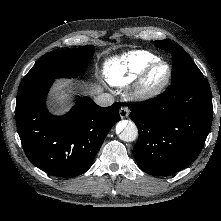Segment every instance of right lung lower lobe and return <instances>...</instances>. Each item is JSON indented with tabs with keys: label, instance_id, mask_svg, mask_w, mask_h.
I'll list each match as a JSON object with an SVG mask.
<instances>
[{
	"label": "right lung lower lobe",
	"instance_id": "1",
	"mask_svg": "<svg viewBox=\"0 0 221 221\" xmlns=\"http://www.w3.org/2000/svg\"><path fill=\"white\" fill-rule=\"evenodd\" d=\"M53 81L19 89L17 130L32 164L53 176H78L91 167L109 130L120 120V104L100 107L89 97H79L67 114L52 115L45 100Z\"/></svg>",
	"mask_w": 221,
	"mask_h": 221
}]
</instances>
